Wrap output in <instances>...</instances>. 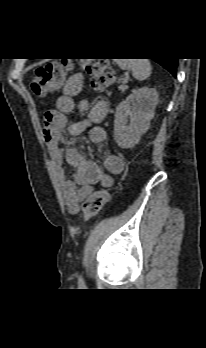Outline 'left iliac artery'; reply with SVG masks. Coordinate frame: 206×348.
I'll return each mask as SVG.
<instances>
[{"label":"left iliac artery","mask_w":206,"mask_h":348,"mask_svg":"<svg viewBox=\"0 0 206 348\" xmlns=\"http://www.w3.org/2000/svg\"><path fill=\"white\" fill-rule=\"evenodd\" d=\"M78 282H79V284H84V281H83V279L81 277L79 278Z\"/></svg>","instance_id":"1"}]
</instances>
